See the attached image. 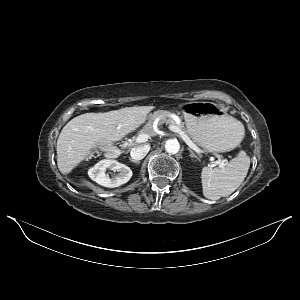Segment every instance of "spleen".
<instances>
[{"label": "spleen", "mask_w": 300, "mask_h": 300, "mask_svg": "<svg viewBox=\"0 0 300 300\" xmlns=\"http://www.w3.org/2000/svg\"><path fill=\"white\" fill-rule=\"evenodd\" d=\"M244 134L242 123L234 119ZM250 167V157L239 152L223 168L204 167L201 172L203 195L211 200L231 195L244 181Z\"/></svg>", "instance_id": "1"}]
</instances>
